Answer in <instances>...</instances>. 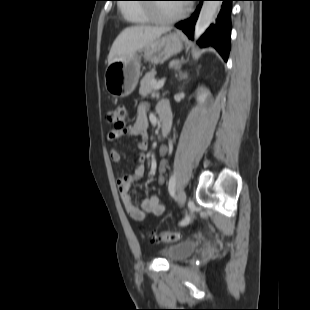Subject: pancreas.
<instances>
[{
  "label": "pancreas",
  "mask_w": 310,
  "mask_h": 310,
  "mask_svg": "<svg viewBox=\"0 0 310 310\" xmlns=\"http://www.w3.org/2000/svg\"><path fill=\"white\" fill-rule=\"evenodd\" d=\"M156 80H155V71H150L142 78L140 82L139 93L142 96H147L152 93L155 89Z\"/></svg>",
  "instance_id": "cf45deb5"
}]
</instances>
